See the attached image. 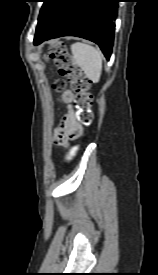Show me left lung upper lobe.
I'll return each mask as SVG.
<instances>
[{
  "label": "left lung upper lobe",
  "instance_id": "left-lung-upper-lobe-1",
  "mask_svg": "<svg viewBox=\"0 0 158 275\" xmlns=\"http://www.w3.org/2000/svg\"><path fill=\"white\" fill-rule=\"evenodd\" d=\"M48 2H49V0H44V4H43V6H42V9H41V11H40V15H39V19H38V25L40 24V22H41V18H42V12H43V9L45 8V6L48 4ZM37 25V26H38Z\"/></svg>",
  "mask_w": 158,
  "mask_h": 275
}]
</instances>
